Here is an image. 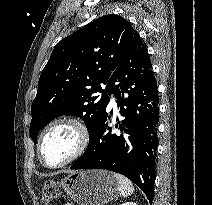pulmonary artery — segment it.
Instances as JSON below:
<instances>
[{
    "mask_svg": "<svg viewBox=\"0 0 212 205\" xmlns=\"http://www.w3.org/2000/svg\"><path fill=\"white\" fill-rule=\"evenodd\" d=\"M110 105L114 109L116 108V100H115V97L114 96L111 97Z\"/></svg>",
    "mask_w": 212,
    "mask_h": 205,
    "instance_id": "e3ab8cb5",
    "label": "pulmonary artery"
}]
</instances>
